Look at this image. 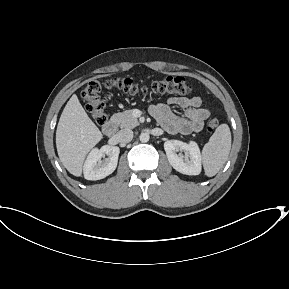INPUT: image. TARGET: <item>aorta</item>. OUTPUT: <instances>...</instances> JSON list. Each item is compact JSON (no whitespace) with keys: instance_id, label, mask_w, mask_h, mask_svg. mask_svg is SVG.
I'll list each match as a JSON object with an SVG mask.
<instances>
[{"instance_id":"1","label":"aorta","mask_w":289,"mask_h":289,"mask_svg":"<svg viewBox=\"0 0 289 289\" xmlns=\"http://www.w3.org/2000/svg\"><path fill=\"white\" fill-rule=\"evenodd\" d=\"M149 138H150V136L148 133H141L139 136L140 141L143 143L148 142Z\"/></svg>"}]
</instances>
